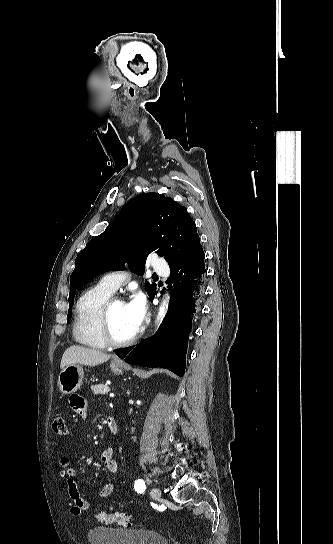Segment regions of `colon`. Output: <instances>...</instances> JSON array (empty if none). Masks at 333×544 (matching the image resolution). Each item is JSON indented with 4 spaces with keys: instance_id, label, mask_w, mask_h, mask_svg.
<instances>
[{
    "instance_id": "obj_1",
    "label": "colon",
    "mask_w": 333,
    "mask_h": 544,
    "mask_svg": "<svg viewBox=\"0 0 333 544\" xmlns=\"http://www.w3.org/2000/svg\"><path fill=\"white\" fill-rule=\"evenodd\" d=\"M52 429L57 435H67L68 428L65 419L61 416L54 418ZM98 523L106 525H130L131 516L123 512H97L94 515Z\"/></svg>"
}]
</instances>
